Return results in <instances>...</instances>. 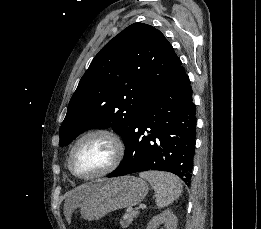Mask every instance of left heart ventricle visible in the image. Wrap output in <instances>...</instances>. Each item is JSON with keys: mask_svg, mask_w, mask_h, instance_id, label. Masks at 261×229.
Masks as SVG:
<instances>
[{"mask_svg": "<svg viewBox=\"0 0 261 229\" xmlns=\"http://www.w3.org/2000/svg\"><path fill=\"white\" fill-rule=\"evenodd\" d=\"M113 154V147L107 139L92 137L77 147L73 155V165L81 173H96L111 163Z\"/></svg>", "mask_w": 261, "mask_h": 229, "instance_id": "b2bd125f", "label": "left heart ventricle"}]
</instances>
